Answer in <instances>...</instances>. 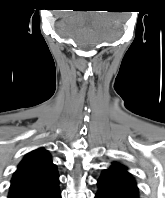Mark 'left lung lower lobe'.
<instances>
[{"label": "left lung lower lobe", "instance_id": "1", "mask_svg": "<svg viewBox=\"0 0 165 198\" xmlns=\"http://www.w3.org/2000/svg\"><path fill=\"white\" fill-rule=\"evenodd\" d=\"M98 187L95 198H139L137 186L108 170L103 171L98 180Z\"/></svg>", "mask_w": 165, "mask_h": 198}]
</instances>
